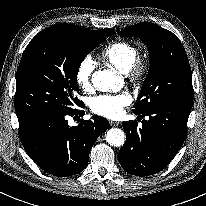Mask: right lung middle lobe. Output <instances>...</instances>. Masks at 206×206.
Here are the masks:
<instances>
[{
	"instance_id": "right-lung-middle-lobe-1",
	"label": "right lung middle lobe",
	"mask_w": 206,
	"mask_h": 206,
	"mask_svg": "<svg viewBox=\"0 0 206 206\" xmlns=\"http://www.w3.org/2000/svg\"><path fill=\"white\" fill-rule=\"evenodd\" d=\"M111 29L86 31L69 24L51 26L26 47L17 71L15 110L19 125L46 116L65 115L81 107L77 74L85 56Z\"/></svg>"
}]
</instances>
